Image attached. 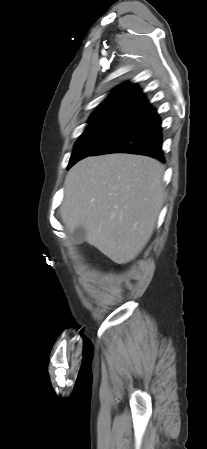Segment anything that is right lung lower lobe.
Returning a JSON list of instances; mask_svg holds the SVG:
<instances>
[{
  "label": "right lung lower lobe",
  "instance_id": "right-lung-lower-lobe-1",
  "mask_svg": "<svg viewBox=\"0 0 207 449\" xmlns=\"http://www.w3.org/2000/svg\"><path fill=\"white\" fill-rule=\"evenodd\" d=\"M161 122L157 111L148 106L108 138L91 155L132 153L164 161Z\"/></svg>",
  "mask_w": 207,
  "mask_h": 449
}]
</instances>
